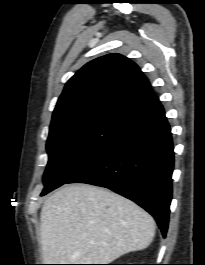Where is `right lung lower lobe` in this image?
<instances>
[{
  "instance_id": "98d812e1",
  "label": "right lung lower lobe",
  "mask_w": 205,
  "mask_h": 265,
  "mask_svg": "<svg viewBox=\"0 0 205 265\" xmlns=\"http://www.w3.org/2000/svg\"><path fill=\"white\" fill-rule=\"evenodd\" d=\"M173 149L171 129L157 101L127 122L66 183L98 185L131 199L153 215L165 237L172 199Z\"/></svg>"
}]
</instances>
